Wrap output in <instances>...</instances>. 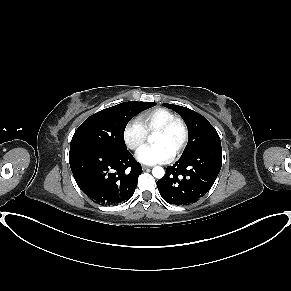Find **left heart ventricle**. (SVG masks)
<instances>
[{
	"label": "left heart ventricle",
	"mask_w": 291,
	"mask_h": 291,
	"mask_svg": "<svg viewBox=\"0 0 291 291\" xmlns=\"http://www.w3.org/2000/svg\"><path fill=\"white\" fill-rule=\"evenodd\" d=\"M182 137V132L179 127H175L168 134H154L152 137L153 144H160L168 148L170 151L174 152L176 146L180 142Z\"/></svg>",
	"instance_id": "b2bd125f"
}]
</instances>
